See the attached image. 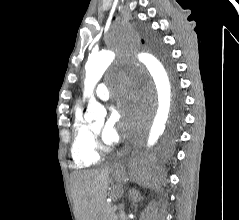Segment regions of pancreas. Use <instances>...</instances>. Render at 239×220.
Here are the masks:
<instances>
[{
  "mask_svg": "<svg viewBox=\"0 0 239 220\" xmlns=\"http://www.w3.org/2000/svg\"><path fill=\"white\" fill-rule=\"evenodd\" d=\"M103 220H118L112 205H106L103 211Z\"/></svg>",
  "mask_w": 239,
  "mask_h": 220,
  "instance_id": "cf45deb5",
  "label": "pancreas"
}]
</instances>
